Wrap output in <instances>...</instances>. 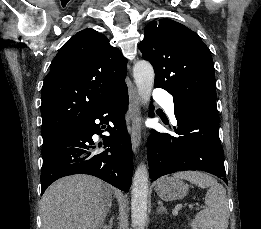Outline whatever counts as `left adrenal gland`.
<instances>
[{"instance_id":"left-adrenal-gland-1","label":"left adrenal gland","mask_w":261,"mask_h":229,"mask_svg":"<svg viewBox=\"0 0 261 229\" xmlns=\"http://www.w3.org/2000/svg\"><path fill=\"white\" fill-rule=\"evenodd\" d=\"M159 207H157V213H167V209L163 207L162 201H158Z\"/></svg>"}]
</instances>
